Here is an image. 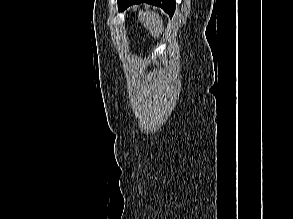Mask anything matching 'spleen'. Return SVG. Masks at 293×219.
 I'll list each match as a JSON object with an SVG mask.
<instances>
[{"mask_svg":"<svg viewBox=\"0 0 293 219\" xmlns=\"http://www.w3.org/2000/svg\"><path fill=\"white\" fill-rule=\"evenodd\" d=\"M138 18L154 38L159 37V35L164 31L163 19L159 16V14L151 11H140Z\"/></svg>","mask_w":293,"mask_h":219,"instance_id":"1","label":"spleen"}]
</instances>
